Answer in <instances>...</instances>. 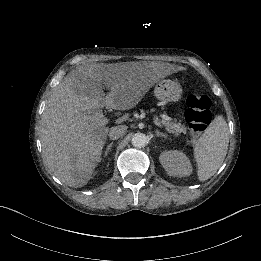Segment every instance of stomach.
Instances as JSON below:
<instances>
[{
    "instance_id": "1",
    "label": "stomach",
    "mask_w": 261,
    "mask_h": 261,
    "mask_svg": "<svg viewBox=\"0 0 261 261\" xmlns=\"http://www.w3.org/2000/svg\"><path fill=\"white\" fill-rule=\"evenodd\" d=\"M154 94L159 100L176 102L181 99L182 88L176 81L162 80L155 86Z\"/></svg>"
}]
</instances>
